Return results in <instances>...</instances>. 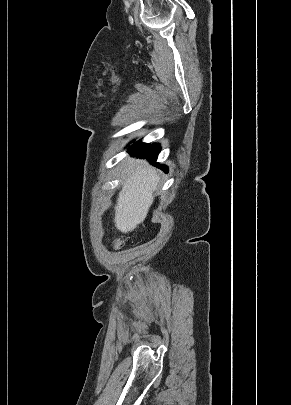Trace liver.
Masks as SVG:
<instances>
[{
  "mask_svg": "<svg viewBox=\"0 0 291 405\" xmlns=\"http://www.w3.org/2000/svg\"><path fill=\"white\" fill-rule=\"evenodd\" d=\"M126 173L114 218L116 228L125 234L145 220L159 181L157 170L141 160L129 159Z\"/></svg>",
  "mask_w": 291,
  "mask_h": 405,
  "instance_id": "liver-1",
  "label": "liver"
}]
</instances>
